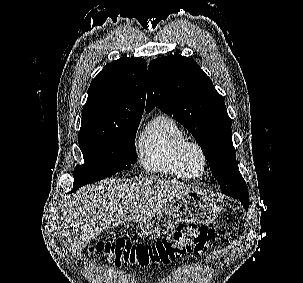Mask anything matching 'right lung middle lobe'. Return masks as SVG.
Masks as SVG:
<instances>
[{"label": "right lung middle lobe", "mask_w": 303, "mask_h": 283, "mask_svg": "<svg viewBox=\"0 0 303 283\" xmlns=\"http://www.w3.org/2000/svg\"><path fill=\"white\" fill-rule=\"evenodd\" d=\"M140 120L118 126L82 127L79 146L85 163L74 170L72 192L131 167L137 160L135 133Z\"/></svg>", "instance_id": "obj_1"}]
</instances>
